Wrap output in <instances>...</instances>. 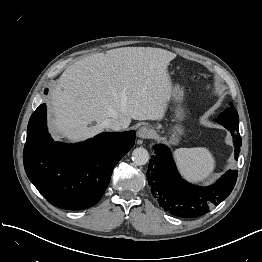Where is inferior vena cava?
Masks as SVG:
<instances>
[{
	"mask_svg": "<svg viewBox=\"0 0 262 262\" xmlns=\"http://www.w3.org/2000/svg\"><path fill=\"white\" fill-rule=\"evenodd\" d=\"M104 126L107 129H111L113 131H120L128 127L126 123L121 121L120 119H108L104 122Z\"/></svg>",
	"mask_w": 262,
	"mask_h": 262,
	"instance_id": "inferior-vena-cava-1",
	"label": "inferior vena cava"
}]
</instances>
